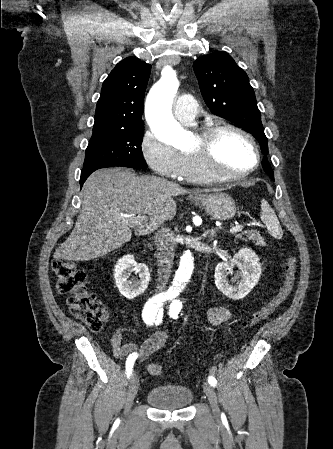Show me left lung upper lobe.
Returning a JSON list of instances; mask_svg holds the SVG:
<instances>
[{
    "label": "left lung upper lobe",
    "instance_id": "obj_1",
    "mask_svg": "<svg viewBox=\"0 0 333 449\" xmlns=\"http://www.w3.org/2000/svg\"><path fill=\"white\" fill-rule=\"evenodd\" d=\"M193 68L211 112L250 132L258 140L262 153H268L261 114L245 71L223 51L199 57ZM265 172L274 180L273 171Z\"/></svg>",
    "mask_w": 333,
    "mask_h": 449
}]
</instances>
